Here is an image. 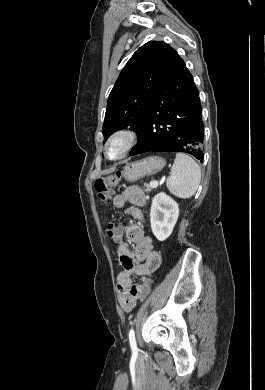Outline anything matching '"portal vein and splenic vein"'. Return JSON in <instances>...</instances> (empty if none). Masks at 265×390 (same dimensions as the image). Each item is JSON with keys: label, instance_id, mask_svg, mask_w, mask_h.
Returning a JSON list of instances; mask_svg holds the SVG:
<instances>
[{"label": "portal vein and splenic vein", "instance_id": "18ae733b", "mask_svg": "<svg viewBox=\"0 0 265 390\" xmlns=\"http://www.w3.org/2000/svg\"><path fill=\"white\" fill-rule=\"evenodd\" d=\"M158 184H159L158 181H152V182H151V185L154 186V187H157Z\"/></svg>", "mask_w": 265, "mask_h": 390}]
</instances>
